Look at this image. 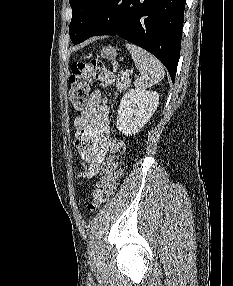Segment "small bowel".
Instances as JSON below:
<instances>
[{
  "label": "small bowel",
  "mask_w": 233,
  "mask_h": 286,
  "mask_svg": "<svg viewBox=\"0 0 233 286\" xmlns=\"http://www.w3.org/2000/svg\"><path fill=\"white\" fill-rule=\"evenodd\" d=\"M74 125L81 164L86 177L90 178L98 173L99 166L107 156L109 138V108L99 88L92 91L86 107L75 119Z\"/></svg>",
  "instance_id": "c3829d8e"
}]
</instances>
